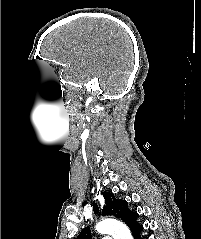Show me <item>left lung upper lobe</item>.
<instances>
[{
	"instance_id": "left-lung-upper-lobe-1",
	"label": "left lung upper lobe",
	"mask_w": 201,
	"mask_h": 239,
	"mask_svg": "<svg viewBox=\"0 0 201 239\" xmlns=\"http://www.w3.org/2000/svg\"><path fill=\"white\" fill-rule=\"evenodd\" d=\"M105 199V205L102 210V215H111L121 218L130 229L138 224L137 212H132L128 208L127 201L117 200L114 195L110 192L103 193ZM94 213H98V206L96 203L93 204ZM91 230L89 227H85L76 239H91Z\"/></svg>"
}]
</instances>
